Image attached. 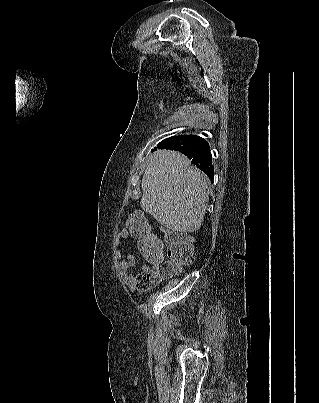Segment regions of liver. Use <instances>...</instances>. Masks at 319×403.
<instances>
[{
	"label": "liver",
	"instance_id": "liver-1",
	"mask_svg": "<svg viewBox=\"0 0 319 403\" xmlns=\"http://www.w3.org/2000/svg\"><path fill=\"white\" fill-rule=\"evenodd\" d=\"M209 181L183 154L158 150L142 178L141 208L164 227L190 233L203 222Z\"/></svg>",
	"mask_w": 319,
	"mask_h": 403
}]
</instances>
